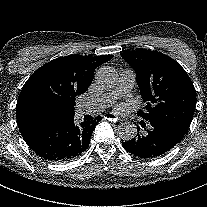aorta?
<instances>
[{"mask_svg":"<svg viewBox=\"0 0 207 207\" xmlns=\"http://www.w3.org/2000/svg\"><path fill=\"white\" fill-rule=\"evenodd\" d=\"M95 80L102 89L109 90L117 84L118 73L110 66H102L96 71ZM136 132V126L130 122L121 123L117 128L119 137L124 141L133 139Z\"/></svg>","mask_w":207,"mask_h":207,"instance_id":"1","label":"aorta"}]
</instances>
